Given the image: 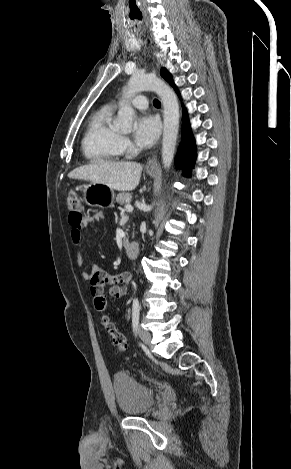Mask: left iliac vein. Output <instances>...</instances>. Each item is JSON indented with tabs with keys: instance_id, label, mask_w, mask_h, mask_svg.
<instances>
[{
	"instance_id": "obj_1",
	"label": "left iliac vein",
	"mask_w": 291,
	"mask_h": 469,
	"mask_svg": "<svg viewBox=\"0 0 291 469\" xmlns=\"http://www.w3.org/2000/svg\"><path fill=\"white\" fill-rule=\"evenodd\" d=\"M138 334H139V337L140 339L143 341V343L145 345H149L150 344V341H151V335L148 331H146L145 329L139 327L138 328Z\"/></svg>"
}]
</instances>
